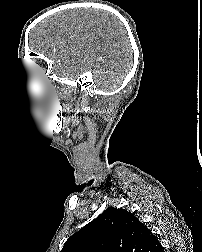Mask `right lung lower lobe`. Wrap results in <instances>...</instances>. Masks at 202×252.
<instances>
[{"label":"right lung lower lobe","mask_w":202,"mask_h":252,"mask_svg":"<svg viewBox=\"0 0 202 252\" xmlns=\"http://www.w3.org/2000/svg\"><path fill=\"white\" fill-rule=\"evenodd\" d=\"M161 252H164V248H163V250H161Z\"/></svg>","instance_id":"obj_1"}]
</instances>
